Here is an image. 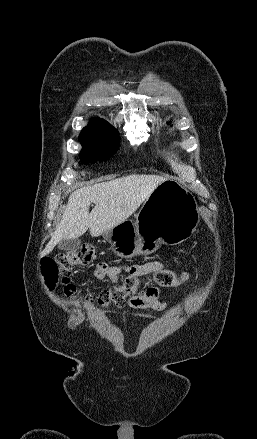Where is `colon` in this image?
<instances>
[{
    "label": "colon",
    "mask_w": 257,
    "mask_h": 439,
    "mask_svg": "<svg viewBox=\"0 0 257 439\" xmlns=\"http://www.w3.org/2000/svg\"><path fill=\"white\" fill-rule=\"evenodd\" d=\"M97 257L95 248L85 245L78 249L59 253L53 258H47L41 263V270L47 286L53 289L56 284L62 285V290L68 298L77 297V288L71 279V273L77 266H85L92 263ZM189 278L188 273L177 274L165 269L152 274V280L160 286L176 287ZM141 293L139 282L133 276L125 277L119 284L102 291L97 296L86 295L83 300L88 303H98L101 306H123L125 302Z\"/></svg>",
    "instance_id": "colon-1"
}]
</instances>
